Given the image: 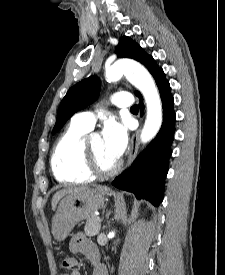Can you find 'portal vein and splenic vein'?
I'll return each instance as SVG.
<instances>
[{"instance_id": "portal-vein-and-splenic-vein-1", "label": "portal vein and splenic vein", "mask_w": 225, "mask_h": 275, "mask_svg": "<svg viewBox=\"0 0 225 275\" xmlns=\"http://www.w3.org/2000/svg\"><path fill=\"white\" fill-rule=\"evenodd\" d=\"M99 222H101V219L98 217V219H97Z\"/></svg>"}]
</instances>
